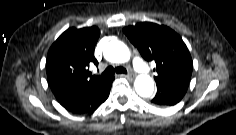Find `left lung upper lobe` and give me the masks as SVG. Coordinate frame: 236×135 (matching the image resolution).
Instances as JSON below:
<instances>
[{"mask_svg": "<svg viewBox=\"0 0 236 135\" xmlns=\"http://www.w3.org/2000/svg\"><path fill=\"white\" fill-rule=\"evenodd\" d=\"M123 32L146 61L156 63V84L190 80L193 68L190 52L182 38L172 29L141 22L125 27Z\"/></svg>", "mask_w": 236, "mask_h": 135, "instance_id": "left-lung-upper-lobe-1", "label": "left lung upper lobe"}]
</instances>
